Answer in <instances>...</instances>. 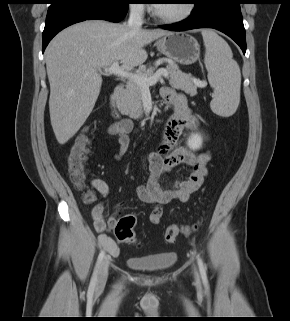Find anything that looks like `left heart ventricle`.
<instances>
[{
  "label": "left heart ventricle",
  "mask_w": 290,
  "mask_h": 321,
  "mask_svg": "<svg viewBox=\"0 0 290 321\" xmlns=\"http://www.w3.org/2000/svg\"><path fill=\"white\" fill-rule=\"evenodd\" d=\"M157 11L165 16H174L180 14L185 7L184 0H161L155 5Z\"/></svg>",
  "instance_id": "obj_1"
}]
</instances>
